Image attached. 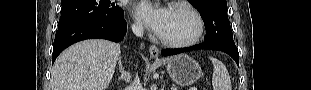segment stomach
Returning <instances> with one entry per match:
<instances>
[{
  "label": "stomach",
  "mask_w": 311,
  "mask_h": 90,
  "mask_svg": "<svg viewBox=\"0 0 311 90\" xmlns=\"http://www.w3.org/2000/svg\"><path fill=\"white\" fill-rule=\"evenodd\" d=\"M166 69L172 80L181 86L191 85L201 76L200 65L187 54L171 57Z\"/></svg>",
  "instance_id": "1"
}]
</instances>
